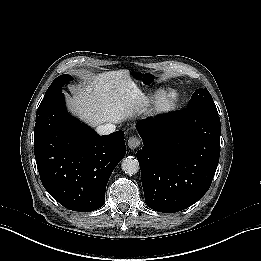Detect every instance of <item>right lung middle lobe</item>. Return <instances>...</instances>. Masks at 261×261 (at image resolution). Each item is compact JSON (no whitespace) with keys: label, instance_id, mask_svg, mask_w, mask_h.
<instances>
[{"label":"right lung middle lobe","instance_id":"right-lung-middle-lobe-1","mask_svg":"<svg viewBox=\"0 0 261 261\" xmlns=\"http://www.w3.org/2000/svg\"><path fill=\"white\" fill-rule=\"evenodd\" d=\"M71 80H73V77L66 74L57 77L46 91L45 96L41 104L39 105L37 112H40L45 106L48 105L49 102L53 101L59 95H61L62 87L64 86V84L68 83Z\"/></svg>","mask_w":261,"mask_h":261}]
</instances>
